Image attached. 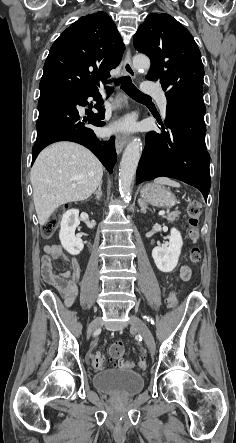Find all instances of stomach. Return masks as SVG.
I'll list each match as a JSON object with an SVG mask.
<instances>
[{
    "mask_svg": "<svg viewBox=\"0 0 236 443\" xmlns=\"http://www.w3.org/2000/svg\"><path fill=\"white\" fill-rule=\"evenodd\" d=\"M142 198L149 204L160 207H172L176 203V198L164 186L156 183H148L141 189Z\"/></svg>",
    "mask_w": 236,
    "mask_h": 443,
    "instance_id": "1",
    "label": "stomach"
}]
</instances>
